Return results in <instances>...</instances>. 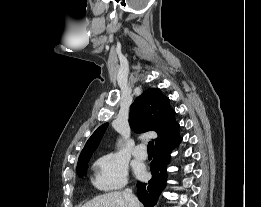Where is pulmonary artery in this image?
<instances>
[{
  "instance_id": "1",
  "label": "pulmonary artery",
  "mask_w": 261,
  "mask_h": 207,
  "mask_svg": "<svg viewBox=\"0 0 261 207\" xmlns=\"http://www.w3.org/2000/svg\"><path fill=\"white\" fill-rule=\"evenodd\" d=\"M133 155L141 160H144L147 158V152L145 149V146L143 144H139L134 148Z\"/></svg>"
}]
</instances>
